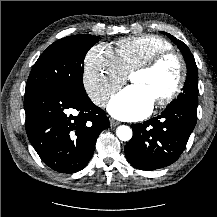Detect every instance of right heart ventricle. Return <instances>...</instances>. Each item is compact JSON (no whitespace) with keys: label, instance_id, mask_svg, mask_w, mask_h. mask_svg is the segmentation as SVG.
Returning <instances> with one entry per match:
<instances>
[{"label":"right heart ventricle","instance_id":"right-heart-ventricle-1","mask_svg":"<svg viewBox=\"0 0 217 217\" xmlns=\"http://www.w3.org/2000/svg\"><path fill=\"white\" fill-rule=\"evenodd\" d=\"M172 45L156 35H140L120 39L116 42V58L125 73L148 62L157 54L171 51Z\"/></svg>","mask_w":217,"mask_h":217}]
</instances>
